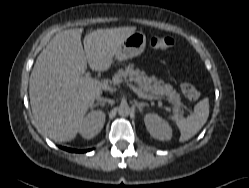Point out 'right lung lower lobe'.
<instances>
[{
  "label": "right lung lower lobe",
  "instance_id": "1",
  "mask_svg": "<svg viewBox=\"0 0 249 188\" xmlns=\"http://www.w3.org/2000/svg\"><path fill=\"white\" fill-rule=\"evenodd\" d=\"M63 149H65V150H67V151H69V152H87V151H89V150H83V151H80V150H74V149H70V148H66V147H63Z\"/></svg>",
  "mask_w": 249,
  "mask_h": 188
}]
</instances>
